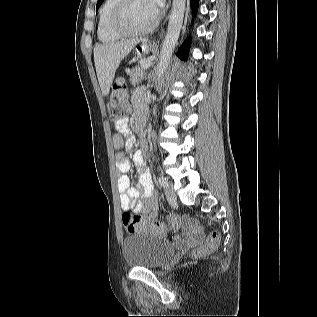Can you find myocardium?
<instances>
[{
    "mask_svg": "<svg viewBox=\"0 0 317 317\" xmlns=\"http://www.w3.org/2000/svg\"><path fill=\"white\" fill-rule=\"evenodd\" d=\"M131 0H118L112 17L111 28L112 30L121 36H141L152 32L159 23L160 14L157 13L155 19L145 28L134 30L126 26L124 19L125 13Z\"/></svg>",
    "mask_w": 317,
    "mask_h": 317,
    "instance_id": "f54148a6",
    "label": "myocardium"
}]
</instances>
